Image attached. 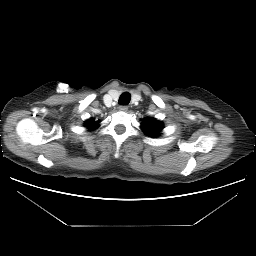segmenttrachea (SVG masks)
I'll use <instances>...</instances> for the list:
<instances>
[{
  "label": "trachea",
  "instance_id": "obj_1",
  "mask_svg": "<svg viewBox=\"0 0 256 256\" xmlns=\"http://www.w3.org/2000/svg\"><path fill=\"white\" fill-rule=\"evenodd\" d=\"M130 100H131V95H130V93L125 92V93H122V94L120 95L118 103H119L120 105L125 106V105H128V104H129Z\"/></svg>",
  "mask_w": 256,
  "mask_h": 256
}]
</instances>
